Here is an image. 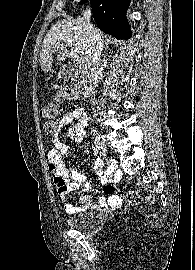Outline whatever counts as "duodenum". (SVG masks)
I'll return each instance as SVG.
<instances>
[{"label":"duodenum","mask_w":195,"mask_h":270,"mask_svg":"<svg viewBox=\"0 0 195 270\" xmlns=\"http://www.w3.org/2000/svg\"><path fill=\"white\" fill-rule=\"evenodd\" d=\"M78 73L80 74L83 82V96H88L94 89V78L86 66H81L78 68Z\"/></svg>","instance_id":"obj_1"}]
</instances>
